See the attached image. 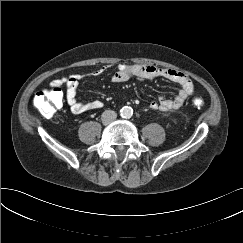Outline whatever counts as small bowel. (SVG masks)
I'll list each match as a JSON object with an SVG mask.
<instances>
[{
  "instance_id": "c3829d8e",
  "label": "small bowel",
  "mask_w": 243,
  "mask_h": 243,
  "mask_svg": "<svg viewBox=\"0 0 243 243\" xmlns=\"http://www.w3.org/2000/svg\"><path fill=\"white\" fill-rule=\"evenodd\" d=\"M116 71L111 80L113 83H123L131 78L138 80H148L157 77H162L180 85V89L173 98L158 97L150 103V108L153 110L170 111L180 108L186 99L194 92L193 82L190 76L184 72L161 68L154 65L146 64H126L118 63L115 65ZM103 72V69H98L87 74V76L96 78ZM85 75L72 74L62 78L53 80L50 83L51 88L60 86L66 87V101L73 114H82L88 111L97 110L103 107V102L98 99L89 101H80L77 95V87Z\"/></svg>"
}]
</instances>
